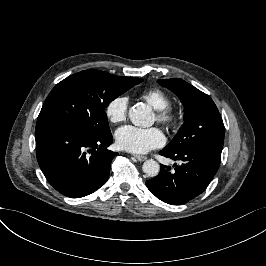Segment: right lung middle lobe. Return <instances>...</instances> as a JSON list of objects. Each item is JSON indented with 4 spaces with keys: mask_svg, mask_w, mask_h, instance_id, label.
<instances>
[{
    "mask_svg": "<svg viewBox=\"0 0 266 266\" xmlns=\"http://www.w3.org/2000/svg\"><path fill=\"white\" fill-rule=\"evenodd\" d=\"M143 80L89 69L59 82L46 98L37 119L35 136L66 126L92 136L110 133L105 108Z\"/></svg>",
    "mask_w": 266,
    "mask_h": 266,
    "instance_id": "dd1d6c3e",
    "label": "right lung middle lobe"
}]
</instances>
